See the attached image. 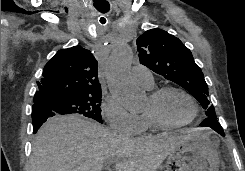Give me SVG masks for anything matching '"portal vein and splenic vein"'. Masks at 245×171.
I'll return each instance as SVG.
<instances>
[{
	"label": "portal vein and splenic vein",
	"mask_w": 245,
	"mask_h": 171,
	"mask_svg": "<svg viewBox=\"0 0 245 171\" xmlns=\"http://www.w3.org/2000/svg\"><path fill=\"white\" fill-rule=\"evenodd\" d=\"M115 162H116L115 159L107 160V161H106V166H111V165H113Z\"/></svg>",
	"instance_id": "1"
}]
</instances>
